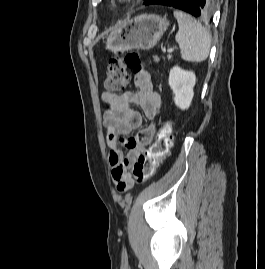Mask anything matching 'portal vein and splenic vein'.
I'll use <instances>...</instances> for the list:
<instances>
[{"label":"portal vein and splenic vein","mask_w":265,"mask_h":269,"mask_svg":"<svg viewBox=\"0 0 265 269\" xmlns=\"http://www.w3.org/2000/svg\"><path fill=\"white\" fill-rule=\"evenodd\" d=\"M174 49L173 48H168V52H172Z\"/></svg>","instance_id":"1"}]
</instances>
